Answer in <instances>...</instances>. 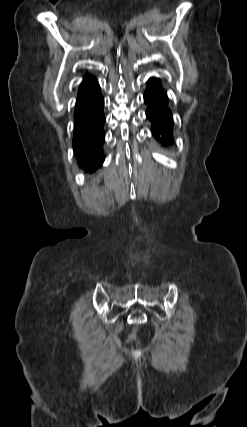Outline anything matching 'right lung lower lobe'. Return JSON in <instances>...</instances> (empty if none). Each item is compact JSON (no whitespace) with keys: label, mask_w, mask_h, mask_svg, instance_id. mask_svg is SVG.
Masks as SVG:
<instances>
[{"label":"right lung lower lobe","mask_w":247,"mask_h":427,"mask_svg":"<svg viewBox=\"0 0 247 427\" xmlns=\"http://www.w3.org/2000/svg\"><path fill=\"white\" fill-rule=\"evenodd\" d=\"M104 99L97 80L87 75L79 86L75 105L73 149L78 163L93 172L105 159L103 153Z\"/></svg>","instance_id":"right-lung-lower-lobe-1"}]
</instances>
